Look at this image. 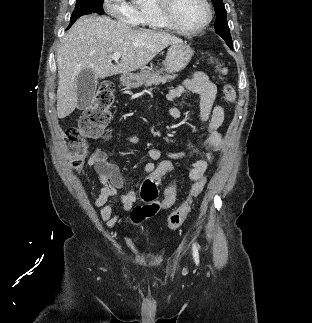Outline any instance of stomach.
<instances>
[{
	"label": "stomach",
	"mask_w": 312,
	"mask_h": 323,
	"mask_svg": "<svg viewBox=\"0 0 312 323\" xmlns=\"http://www.w3.org/2000/svg\"><path fill=\"white\" fill-rule=\"evenodd\" d=\"M193 54L194 50L188 44H184V42L170 44V48L163 62V68H161L160 72H168V74L181 72V70H184L188 66ZM152 72L153 70H142L140 74H130L128 72V74H122L120 82L126 88H139Z\"/></svg>",
	"instance_id": "stomach-1"
}]
</instances>
